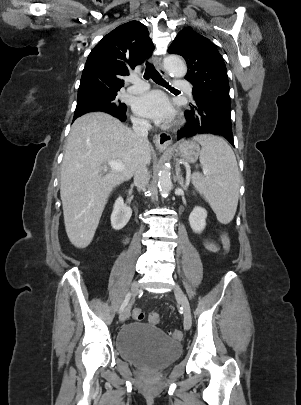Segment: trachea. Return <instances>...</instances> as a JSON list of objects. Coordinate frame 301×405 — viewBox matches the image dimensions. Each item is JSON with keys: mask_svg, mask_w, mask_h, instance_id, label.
I'll list each match as a JSON object with an SVG mask.
<instances>
[{"mask_svg": "<svg viewBox=\"0 0 301 405\" xmlns=\"http://www.w3.org/2000/svg\"><path fill=\"white\" fill-rule=\"evenodd\" d=\"M144 78L145 79H149L151 78L155 83L166 87L167 89L170 90H176L174 88H172L163 78L162 76L159 74V72L154 68V66L152 64H150L149 62H146V69H145V73H144Z\"/></svg>", "mask_w": 301, "mask_h": 405, "instance_id": "obj_1", "label": "trachea"}]
</instances>
